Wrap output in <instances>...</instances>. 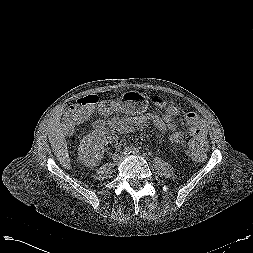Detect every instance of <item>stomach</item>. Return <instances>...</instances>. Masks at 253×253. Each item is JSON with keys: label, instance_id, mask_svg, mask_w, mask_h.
<instances>
[{"label": "stomach", "instance_id": "obj_1", "mask_svg": "<svg viewBox=\"0 0 253 253\" xmlns=\"http://www.w3.org/2000/svg\"><path fill=\"white\" fill-rule=\"evenodd\" d=\"M149 102L147 97L138 91H128L123 93L117 101H102L101 111L110 113L120 111L128 115H140L148 110Z\"/></svg>", "mask_w": 253, "mask_h": 253}]
</instances>
